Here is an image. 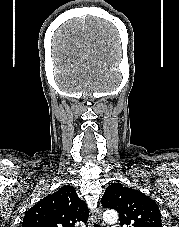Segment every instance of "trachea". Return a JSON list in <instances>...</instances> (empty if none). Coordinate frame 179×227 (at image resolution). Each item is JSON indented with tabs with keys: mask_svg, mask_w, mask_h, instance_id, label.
I'll list each match as a JSON object with an SVG mask.
<instances>
[{
	"mask_svg": "<svg viewBox=\"0 0 179 227\" xmlns=\"http://www.w3.org/2000/svg\"><path fill=\"white\" fill-rule=\"evenodd\" d=\"M93 227H100V225L94 223V224H93Z\"/></svg>",
	"mask_w": 179,
	"mask_h": 227,
	"instance_id": "1",
	"label": "trachea"
}]
</instances>
